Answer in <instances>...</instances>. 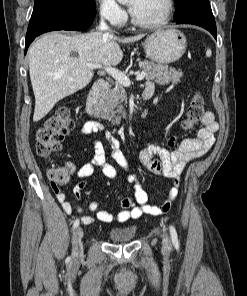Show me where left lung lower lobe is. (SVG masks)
I'll return each mask as SVG.
<instances>
[{"mask_svg":"<svg viewBox=\"0 0 247 296\" xmlns=\"http://www.w3.org/2000/svg\"><path fill=\"white\" fill-rule=\"evenodd\" d=\"M177 24H195L208 30L217 39L215 19L209 1H199L179 16H174Z\"/></svg>","mask_w":247,"mask_h":296,"instance_id":"left-lung-lower-lobe-1","label":"left lung lower lobe"}]
</instances>
